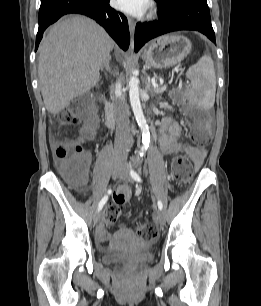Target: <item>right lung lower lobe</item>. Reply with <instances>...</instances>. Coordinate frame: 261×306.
<instances>
[{
	"mask_svg": "<svg viewBox=\"0 0 261 306\" xmlns=\"http://www.w3.org/2000/svg\"><path fill=\"white\" fill-rule=\"evenodd\" d=\"M68 13H80L93 18L123 50L128 49L130 43L128 21L122 13L110 7L109 0H41L35 50L44 30Z\"/></svg>",
	"mask_w": 261,
	"mask_h": 306,
	"instance_id": "98d812e1",
	"label": "right lung lower lobe"
}]
</instances>
